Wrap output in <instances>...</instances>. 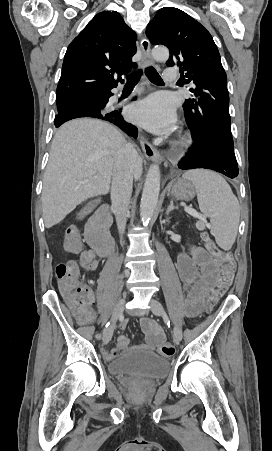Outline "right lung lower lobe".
<instances>
[{"label":"right lung lower lobe","instance_id":"right-lung-lower-lobe-1","mask_svg":"<svg viewBox=\"0 0 272 451\" xmlns=\"http://www.w3.org/2000/svg\"><path fill=\"white\" fill-rule=\"evenodd\" d=\"M112 95L113 93L110 90L99 91L78 95L61 102L57 105L58 114L54 120L56 128L71 119L91 117L108 121L136 138L138 135L137 128L125 122L121 115V109L107 106L109 97Z\"/></svg>","mask_w":272,"mask_h":451}]
</instances>
